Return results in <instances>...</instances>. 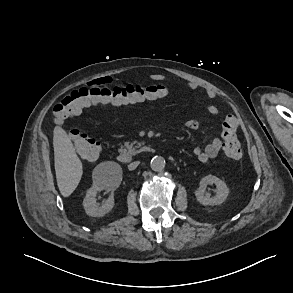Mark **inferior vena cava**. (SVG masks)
<instances>
[{
  "label": "inferior vena cava",
  "mask_w": 293,
  "mask_h": 293,
  "mask_svg": "<svg viewBox=\"0 0 293 293\" xmlns=\"http://www.w3.org/2000/svg\"><path fill=\"white\" fill-rule=\"evenodd\" d=\"M139 165V161H135V162H132L128 165V169L129 170H134L137 168V166Z\"/></svg>",
  "instance_id": "1"
}]
</instances>
